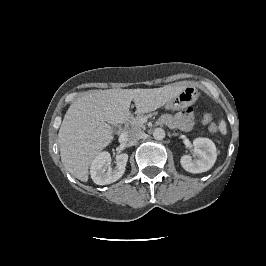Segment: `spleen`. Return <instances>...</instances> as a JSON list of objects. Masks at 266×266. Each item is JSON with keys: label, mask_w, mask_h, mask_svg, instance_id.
Here are the masks:
<instances>
[{"label": "spleen", "mask_w": 266, "mask_h": 266, "mask_svg": "<svg viewBox=\"0 0 266 266\" xmlns=\"http://www.w3.org/2000/svg\"><path fill=\"white\" fill-rule=\"evenodd\" d=\"M219 130L222 134H226L227 133V129H226V123L225 121H221L219 124Z\"/></svg>", "instance_id": "spleen-1"}]
</instances>
